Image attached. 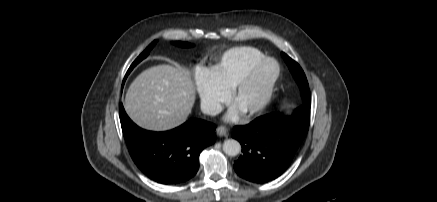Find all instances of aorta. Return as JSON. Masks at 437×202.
<instances>
[{
    "instance_id": "762f6f07",
    "label": "aorta",
    "mask_w": 437,
    "mask_h": 202,
    "mask_svg": "<svg viewBox=\"0 0 437 202\" xmlns=\"http://www.w3.org/2000/svg\"><path fill=\"white\" fill-rule=\"evenodd\" d=\"M223 151L229 156H236L241 151V145L237 140L228 139L223 143Z\"/></svg>"
}]
</instances>
